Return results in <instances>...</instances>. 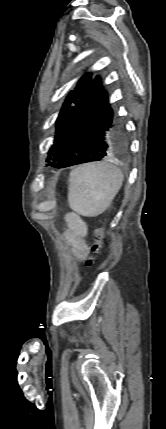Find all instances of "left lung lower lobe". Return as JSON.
<instances>
[{"label":"left lung lower lobe","instance_id":"1","mask_svg":"<svg viewBox=\"0 0 166 429\" xmlns=\"http://www.w3.org/2000/svg\"><path fill=\"white\" fill-rule=\"evenodd\" d=\"M125 146L124 127L113 115L101 78L91 77L47 165L65 168L99 161L111 151H122Z\"/></svg>","mask_w":166,"mask_h":429}]
</instances>
